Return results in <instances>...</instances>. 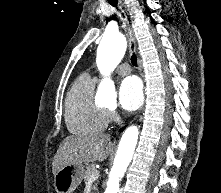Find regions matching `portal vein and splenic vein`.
Masks as SVG:
<instances>
[{
	"label": "portal vein and splenic vein",
	"mask_w": 221,
	"mask_h": 193,
	"mask_svg": "<svg viewBox=\"0 0 221 193\" xmlns=\"http://www.w3.org/2000/svg\"><path fill=\"white\" fill-rule=\"evenodd\" d=\"M98 176H99V172H98V171H95V172L91 175L90 180H91V181H94V180H96V179L98 178Z\"/></svg>",
	"instance_id": "portal-vein-and-splenic-vein-1"
}]
</instances>
